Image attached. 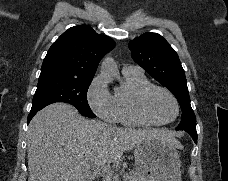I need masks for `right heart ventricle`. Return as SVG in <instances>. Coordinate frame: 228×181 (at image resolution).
Wrapping results in <instances>:
<instances>
[{"label":"right heart ventricle","instance_id":"right-heart-ventricle-1","mask_svg":"<svg viewBox=\"0 0 228 181\" xmlns=\"http://www.w3.org/2000/svg\"><path fill=\"white\" fill-rule=\"evenodd\" d=\"M116 73H109V80H117L118 86L115 89L114 101L117 120L129 125H143L134 109V104L141 89L150 85L144 75H131L125 69L119 70L116 66Z\"/></svg>","mask_w":228,"mask_h":181}]
</instances>
